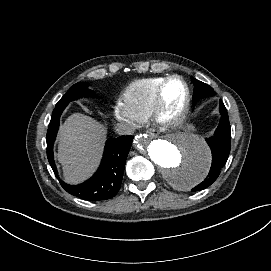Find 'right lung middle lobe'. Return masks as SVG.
Listing matches in <instances>:
<instances>
[{
	"mask_svg": "<svg viewBox=\"0 0 271 271\" xmlns=\"http://www.w3.org/2000/svg\"><path fill=\"white\" fill-rule=\"evenodd\" d=\"M83 96H94V93L87 88L86 83L84 82L76 83L60 99V101L56 104V107L61 105H67L69 102Z\"/></svg>",
	"mask_w": 271,
	"mask_h": 271,
	"instance_id": "right-lung-middle-lobe-1",
	"label": "right lung middle lobe"
}]
</instances>
